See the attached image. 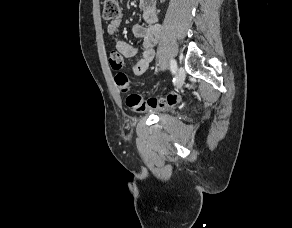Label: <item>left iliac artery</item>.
Here are the masks:
<instances>
[{"mask_svg":"<svg viewBox=\"0 0 292 228\" xmlns=\"http://www.w3.org/2000/svg\"><path fill=\"white\" fill-rule=\"evenodd\" d=\"M170 69L172 73H175L177 70V62L174 59H171L170 61Z\"/></svg>","mask_w":292,"mask_h":228,"instance_id":"1","label":"left iliac artery"}]
</instances>
